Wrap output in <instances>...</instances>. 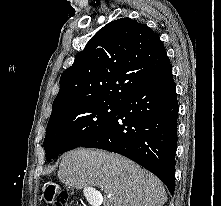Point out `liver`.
I'll return each mask as SVG.
<instances>
[{
	"instance_id": "obj_1",
	"label": "liver",
	"mask_w": 221,
	"mask_h": 206,
	"mask_svg": "<svg viewBox=\"0 0 221 206\" xmlns=\"http://www.w3.org/2000/svg\"><path fill=\"white\" fill-rule=\"evenodd\" d=\"M59 179L83 189L87 199L94 187L104 192L103 206H163L167 201L162 182L133 161L103 150L78 148L65 153Z\"/></svg>"
}]
</instances>
